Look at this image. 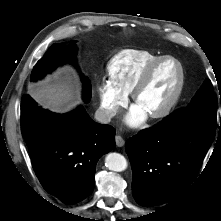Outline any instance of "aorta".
Returning <instances> with one entry per match:
<instances>
[{"label": "aorta", "mask_w": 221, "mask_h": 221, "mask_svg": "<svg viewBox=\"0 0 221 221\" xmlns=\"http://www.w3.org/2000/svg\"><path fill=\"white\" fill-rule=\"evenodd\" d=\"M105 164L109 170L121 172L127 168L126 158L119 153H109L105 158Z\"/></svg>", "instance_id": "1"}]
</instances>
